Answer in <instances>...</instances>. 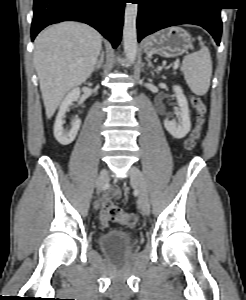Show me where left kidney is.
Listing matches in <instances>:
<instances>
[{
  "label": "left kidney",
  "mask_w": 246,
  "mask_h": 300,
  "mask_svg": "<svg viewBox=\"0 0 246 300\" xmlns=\"http://www.w3.org/2000/svg\"><path fill=\"white\" fill-rule=\"evenodd\" d=\"M173 90L176 93L177 103L180 107L179 119L176 120H164V127L166 130L176 139L184 138L191 129L190 111L188 107V101L183 94V90L180 86L174 85Z\"/></svg>",
  "instance_id": "left-kidney-1"
}]
</instances>
